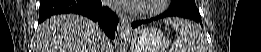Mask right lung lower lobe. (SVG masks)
Listing matches in <instances>:
<instances>
[{"label":"right lung lower lobe","mask_w":261,"mask_h":52,"mask_svg":"<svg viewBox=\"0 0 261 52\" xmlns=\"http://www.w3.org/2000/svg\"><path fill=\"white\" fill-rule=\"evenodd\" d=\"M61 13L86 16L97 22L110 38H115L119 19L108 7L102 6L101 0H41L38 23L52 15Z\"/></svg>","instance_id":"1"}]
</instances>
